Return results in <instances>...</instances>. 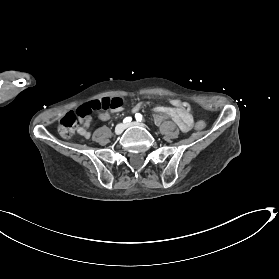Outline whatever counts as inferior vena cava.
I'll list each match as a JSON object with an SVG mask.
<instances>
[{"label":"inferior vena cava","mask_w":279,"mask_h":279,"mask_svg":"<svg viewBox=\"0 0 279 279\" xmlns=\"http://www.w3.org/2000/svg\"><path fill=\"white\" fill-rule=\"evenodd\" d=\"M124 124H119V125H117V126H120V127H122V129L124 130V129H126L127 128V124L125 123V122H123ZM116 126V127H117Z\"/></svg>","instance_id":"602c4592"}]
</instances>
